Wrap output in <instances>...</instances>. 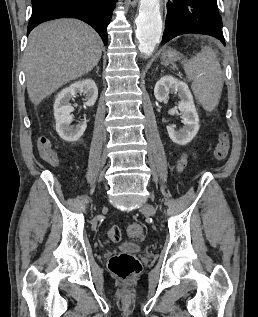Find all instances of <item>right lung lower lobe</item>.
<instances>
[{"label":"right lung lower lobe","mask_w":258,"mask_h":317,"mask_svg":"<svg viewBox=\"0 0 258 317\" xmlns=\"http://www.w3.org/2000/svg\"><path fill=\"white\" fill-rule=\"evenodd\" d=\"M116 0H32V16L27 35L37 25L63 17L82 20L92 26L108 43L107 26Z\"/></svg>","instance_id":"1"}]
</instances>
